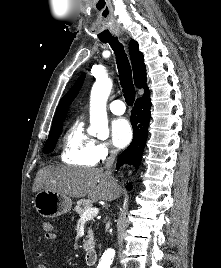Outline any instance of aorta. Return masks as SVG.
<instances>
[{
	"mask_svg": "<svg viewBox=\"0 0 221 268\" xmlns=\"http://www.w3.org/2000/svg\"><path fill=\"white\" fill-rule=\"evenodd\" d=\"M112 89V80L101 77L94 83L90 95V127L89 132L98 138H107L109 135L106 103ZM115 254L113 249H108L104 260L110 262Z\"/></svg>",
	"mask_w": 221,
	"mask_h": 268,
	"instance_id": "1",
	"label": "aorta"
}]
</instances>
